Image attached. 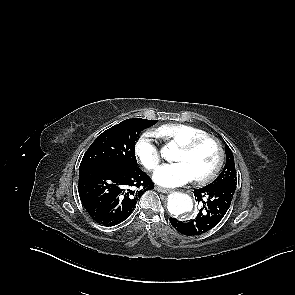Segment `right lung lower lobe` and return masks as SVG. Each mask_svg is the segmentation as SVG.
Wrapping results in <instances>:
<instances>
[{
    "label": "right lung lower lobe",
    "mask_w": 295,
    "mask_h": 295,
    "mask_svg": "<svg viewBox=\"0 0 295 295\" xmlns=\"http://www.w3.org/2000/svg\"><path fill=\"white\" fill-rule=\"evenodd\" d=\"M154 185L137 165L116 163L79 169L81 202L97 223L114 226L127 219L142 194Z\"/></svg>",
    "instance_id": "right-lung-lower-lobe-1"
}]
</instances>
